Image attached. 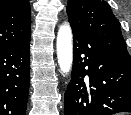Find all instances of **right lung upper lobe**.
Returning a JSON list of instances; mask_svg holds the SVG:
<instances>
[{"label":"right lung upper lobe","instance_id":"obj_1","mask_svg":"<svg viewBox=\"0 0 131 115\" xmlns=\"http://www.w3.org/2000/svg\"><path fill=\"white\" fill-rule=\"evenodd\" d=\"M31 31L28 0H0V49L17 45Z\"/></svg>","mask_w":131,"mask_h":115}]
</instances>
